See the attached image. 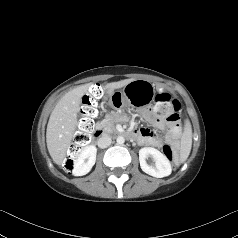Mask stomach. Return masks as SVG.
I'll list each match as a JSON object with an SVG mask.
<instances>
[{"instance_id":"1","label":"stomach","mask_w":238,"mask_h":238,"mask_svg":"<svg viewBox=\"0 0 238 238\" xmlns=\"http://www.w3.org/2000/svg\"><path fill=\"white\" fill-rule=\"evenodd\" d=\"M154 98V85L147 80L136 79L124 86L123 90L113 93L109 103L113 108L120 109L128 103L132 106L150 105Z\"/></svg>"}]
</instances>
